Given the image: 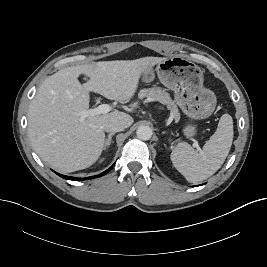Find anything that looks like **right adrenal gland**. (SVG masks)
Returning <instances> with one entry per match:
<instances>
[{"instance_id": "2a0ac1e0", "label": "right adrenal gland", "mask_w": 267, "mask_h": 267, "mask_svg": "<svg viewBox=\"0 0 267 267\" xmlns=\"http://www.w3.org/2000/svg\"><path fill=\"white\" fill-rule=\"evenodd\" d=\"M113 136H114V133H110L108 135V138L105 140L104 150H106L109 147V145L111 144Z\"/></svg>"}]
</instances>
